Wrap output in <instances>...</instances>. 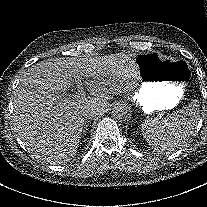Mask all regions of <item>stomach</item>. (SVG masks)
Returning <instances> with one entry per match:
<instances>
[{
  "label": "stomach",
  "mask_w": 207,
  "mask_h": 207,
  "mask_svg": "<svg viewBox=\"0 0 207 207\" xmlns=\"http://www.w3.org/2000/svg\"><path fill=\"white\" fill-rule=\"evenodd\" d=\"M134 63L142 80L137 106L146 114L177 106L191 76L187 63L163 58L157 52L137 54Z\"/></svg>",
  "instance_id": "1"
}]
</instances>
